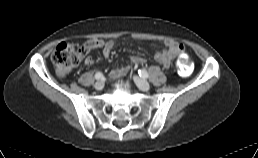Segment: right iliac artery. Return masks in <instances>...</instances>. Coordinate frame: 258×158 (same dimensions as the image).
<instances>
[{
	"instance_id": "right-iliac-artery-1",
	"label": "right iliac artery",
	"mask_w": 258,
	"mask_h": 158,
	"mask_svg": "<svg viewBox=\"0 0 258 158\" xmlns=\"http://www.w3.org/2000/svg\"><path fill=\"white\" fill-rule=\"evenodd\" d=\"M103 78V74L101 73V72H97L96 74H95V79L96 80H100V79H102Z\"/></svg>"
}]
</instances>
